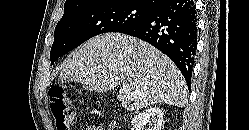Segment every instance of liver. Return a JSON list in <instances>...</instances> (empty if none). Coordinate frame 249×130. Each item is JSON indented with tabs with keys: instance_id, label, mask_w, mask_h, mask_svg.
I'll return each instance as SVG.
<instances>
[{
	"instance_id": "obj_1",
	"label": "liver",
	"mask_w": 249,
	"mask_h": 130,
	"mask_svg": "<svg viewBox=\"0 0 249 130\" xmlns=\"http://www.w3.org/2000/svg\"><path fill=\"white\" fill-rule=\"evenodd\" d=\"M59 81H78L96 92L120 86L118 99L127 110L187 104L188 89L177 66L150 44L120 33L95 36L74 50Z\"/></svg>"
}]
</instances>
